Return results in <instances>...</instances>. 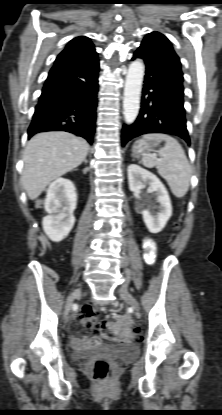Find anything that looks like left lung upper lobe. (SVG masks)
Segmentation results:
<instances>
[{
    "label": "left lung upper lobe",
    "instance_id": "1",
    "mask_svg": "<svg viewBox=\"0 0 222 415\" xmlns=\"http://www.w3.org/2000/svg\"><path fill=\"white\" fill-rule=\"evenodd\" d=\"M145 38H159V39H162V40L166 41L167 43H169L171 45L169 40L159 32L149 33Z\"/></svg>",
    "mask_w": 222,
    "mask_h": 415
}]
</instances>
